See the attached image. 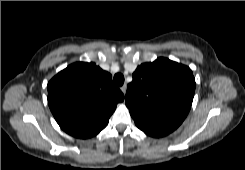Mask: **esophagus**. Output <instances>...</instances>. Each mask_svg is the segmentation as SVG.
<instances>
[{"label": "esophagus", "mask_w": 245, "mask_h": 170, "mask_svg": "<svg viewBox=\"0 0 245 170\" xmlns=\"http://www.w3.org/2000/svg\"><path fill=\"white\" fill-rule=\"evenodd\" d=\"M121 91H122V93L125 95V93H126V85H123V86L121 87Z\"/></svg>", "instance_id": "obj_1"}]
</instances>
